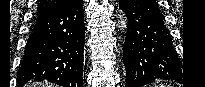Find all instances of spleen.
<instances>
[{"label":"spleen","instance_id":"obj_1","mask_svg":"<svg viewBox=\"0 0 205 87\" xmlns=\"http://www.w3.org/2000/svg\"><path fill=\"white\" fill-rule=\"evenodd\" d=\"M155 87H167V86H164L162 84H159L158 86H155Z\"/></svg>","mask_w":205,"mask_h":87}]
</instances>
